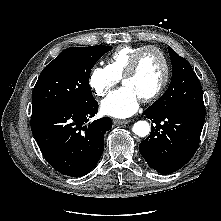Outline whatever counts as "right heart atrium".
<instances>
[{"mask_svg":"<svg viewBox=\"0 0 221 221\" xmlns=\"http://www.w3.org/2000/svg\"><path fill=\"white\" fill-rule=\"evenodd\" d=\"M117 82L118 78L106 66L93 68L88 78L89 87L99 97L107 95Z\"/></svg>","mask_w":221,"mask_h":221,"instance_id":"1","label":"right heart atrium"}]
</instances>
